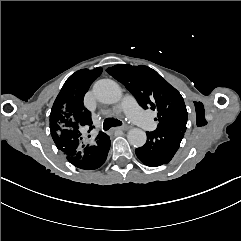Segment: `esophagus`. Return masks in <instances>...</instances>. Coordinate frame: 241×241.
Instances as JSON below:
<instances>
[{"label":"esophagus","instance_id":"obj_1","mask_svg":"<svg viewBox=\"0 0 241 241\" xmlns=\"http://www.w3.org/2000/svg\"><path fill=\"white\" fill-rule=\"evenodd\" d=\"M116 130H127V127L126 126L117 127V128H114L112 132H115Z\"/></svg>","mask_w":241,"mask_h":241}]
</instances>
